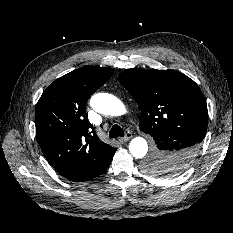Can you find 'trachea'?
I'll return each instance as SVG.
<instances>
[{"label":"trachea","mask_w":233,"mask_h":233,"mask_svg":"<svg viewBox=\"0 0 233 233\" xmlns=\"http://www.w3.org/2000/svg\"><path fill=\"white\" fill-rule=\"evenodd\" d=\"M109 137L110 138L124 137V131L120 126L115 124L112 126L109 132Z\"/></svg>","instance_id":"3493384b"}]
</instances>
